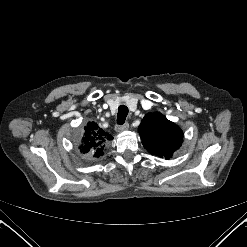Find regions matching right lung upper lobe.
Segmentation results:
<instances>
[{"instance_id": "1", "label": "right lung upper lobe", "mask_w": 247, "mask_h": 247, "mask_svg": "<svg viewBox=\"0 0 247 247\" xmlns=\"http://www.w3.org/2000/svg\"><path fill=\"white\" fill-rule=\"evenodd\" d=\"M112 138L96 122L89 121L84 127L78 149L82 154L98 158L104 154L105 144Z\"/></svg>"}]
</instances>
